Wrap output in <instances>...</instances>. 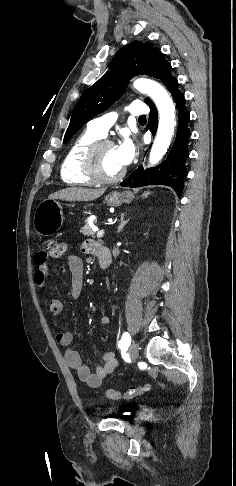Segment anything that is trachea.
<instances>
[{
  "instance_id": "1",
  "label": "trachea",
  "mask_w": 236,
  "mask_h": 486,
  "mask_svg": "<svg viewBox=\"0 0 236 486\" xmlns=\"http://www.w3.org/2000/svg\"><path fill=\"white\" fill-rule=\"evenodd\" d=\"M139 119H140V120H145V119H146V117H145V116H140V117H139Z\"/></svg>"
}]
</instances>
